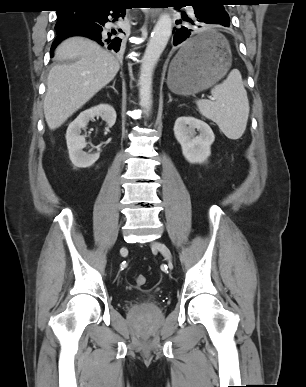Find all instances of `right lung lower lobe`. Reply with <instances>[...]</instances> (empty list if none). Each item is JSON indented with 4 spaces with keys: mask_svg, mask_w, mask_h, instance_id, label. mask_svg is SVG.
I'll return each instance as SVG.
<instances>
[{
    "mask_svg": "<svg viewBox=\"0 0 306 387\" xmlns=\"http://www.w3.org/2000/svg\"><path fill=\"white\" fill-rule=\"evenodd\" d=\"M86 18L69 28L57 31V37L52 44L53 49L65 38L75 35L89 37L97 41L102 46H108L109 49L119 51L122 39L118 37L121 29L117 27L109 29L107 22L117 21L124 17L126 7L121 3H113L104 7H89ZM111 15L114 20L108 18ZM53 56V54H51Z\"/></svg>",
    "mask_w": 306,
    "mask_h": 387,
    "instance_id": "right-lung-lower-lobe-1",
    "label": "right lung lower lobe"
}]
</instances>
